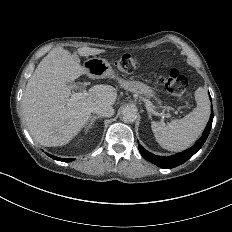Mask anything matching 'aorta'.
Listing matches in <instances>:
<instances>
[{
  "instance_id": "1",
  "label": "aorta",
  "mask_w": 232,
  "mask_h": 232,
  "mask_svg": "<svg viewBox=\"0 0 232 232\" xmlns=\"http://www.w3.org/2000/svg\"><path fill=\"white\" fill-rule=\"evenodd\" d=\"M121 112L124 122H134L137 119V110L134 107H124Z\"/></svg>"
}]
</instances>
